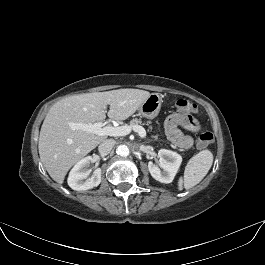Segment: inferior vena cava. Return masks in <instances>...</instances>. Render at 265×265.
<instances>
[{
	"label": "inferior vena cava",
	"instance_id": "obj_1",
	"mask_svg": "<svg viewBox=\"0 0 265 265\" xmlns=\"http://www.w3.org/2000/svg\"><path fill=\"white\" fill-rule=\"evenodd\" d=\"M114 145L115 141L113 139L104 140L98 147L99 154L102 156L109 154Z\"/></svg>",
	"mask_w": 265,
	"mask_h": 265
}]
</instances>
